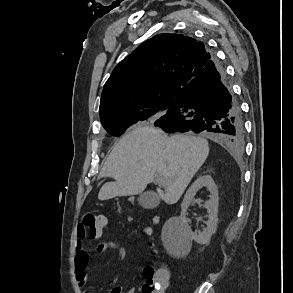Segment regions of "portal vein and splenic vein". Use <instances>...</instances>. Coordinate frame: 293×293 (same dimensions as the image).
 Masks as SVG:
<instances>
[{
	"label": "portal vein and splenic vein",
	"mask_w": 293,
	"mask_h": 293,
	"mask_svg": "<svg viewBox=\"0 0 293 293\" xmlns=\"http://www.w3.org/2000/svg\"><path fill=\"white\" fill-rule=\"evenodd\" d=\"M156 177V179L158 180V181H160V182H163L164 181V178L161 176V175H156L155 176Z\"/></svg>",
	"instance_id": "obj_1"
}]
</instances>
